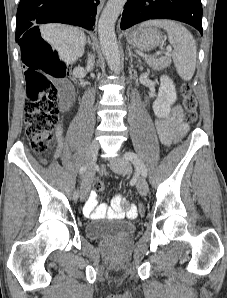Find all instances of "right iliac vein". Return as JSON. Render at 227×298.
<instances>
[{
	"instance_id": "1",
	"label": "right iliac vein",
	"mask_w": 227,
	"mask_h": 298,
	"mask_svg": "<svg viewBox=\"0 0 227 298\" xmlns=\"http://www.w3.org/2000/svg\"><path fill=\"white\" fill-rule=\"evenodd\" d=\"M99 145L97 143H91L85 156V162L87 165V178L85 180V188L81 193V200H85L90 190L91 177L93 172V166L95 164L98 155Z\"/></svg>"
}]
</instances>
